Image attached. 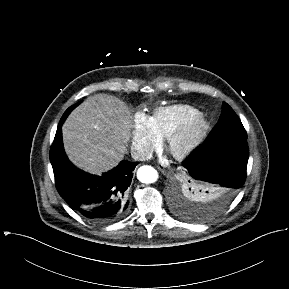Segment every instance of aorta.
Listing matches in <instances>:
<instances>
[{"label":"aorta","mask_w":289,"mask_h":289,"mask_svg":"<svg viewBox=\"0 0 289 289\" xmlns=\"http://www.w3.org/2000/svg\"><path fill=\"white\" fill-rule=\"evenodd\" d=\"M137 178L142 183H154L158 179V173L151 166H141L137 171Z\"/></svg>","instance_id":"1"}]
</instances>
